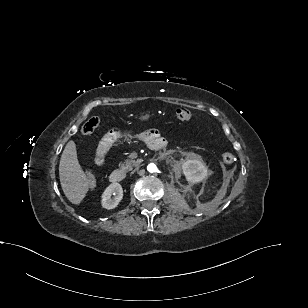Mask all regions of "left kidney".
Instances as JSON below:
<instances>
[{"mask_svg": "<svg viewBox=\"0 0 308 308\" xmlns=\"http://www.w3.org/2000/svg\"><path fill=\"white\" fill-rule=\"evenodd\" d=\"M182 171L186 180L191 184L201 182L207 176V168L198 159H187L182 163Z\"/></svg>", "mask_w": 308, "mask_h": 308, "instance_id": "obj_1", "label": "left kidney"}]
</instances>
